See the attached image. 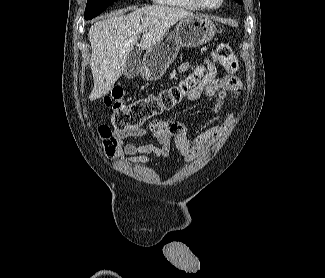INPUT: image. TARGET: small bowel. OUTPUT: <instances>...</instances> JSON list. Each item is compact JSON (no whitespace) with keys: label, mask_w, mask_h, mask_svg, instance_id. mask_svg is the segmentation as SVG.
Segmentation results:
<instances>
[{"label":"small bowel","mask_w":325,"mask_h":278,"mask_svg":"<svg viewBox=\"0 0 325 278\" xmlns=\"http://www.w3.org/2000/svg\"><path fill=\"white\" fill-rule=\"evenodd\" d=\"M204 64L206 66L205 76L202 82L189 92L186 101H196L202 95L214 97L215 102L210 116H215L222 109L228 94H231L233 98L238 97L242 90V84L235 76L218 78L214 64L208 59L204 60ZM189 68L190 63L185 62L179 67V71L185 72ZM232 121L233 115H229L223 123L207 128L195 136H190L184 124L177 119L153 120L147 128L115 131L113 139L118 145L116 154L130 164H151L154 162L151 156L165 158L170 146L174 144L186 160L191 161L197 154L206 151L211 142ZM142 136H152L158 144H123L124 140L128 138Z\"/></svg>","instance_id":"obj_1"}]
</instances>
